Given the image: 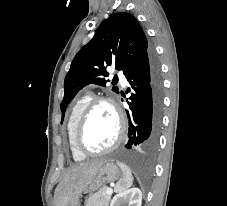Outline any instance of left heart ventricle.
I'll return each mask as SVG.
<instances>
[{"instance_id": "1", "label": "left heart ventricle", "mask_w": 227, "mask_h": 206, "mask_svg": "<svg viewBox=\"0 0 227 206\" xmlns=\"http://www.w3.org/2000/svg\"><path fill=\"white\" fill-rule=\"evenodd\" d=\"M117 133L118 121L114 110L107 104H100L89 116L83 143L92 151L103 150L114 142Z\"/></svg>"}]
</instances>
